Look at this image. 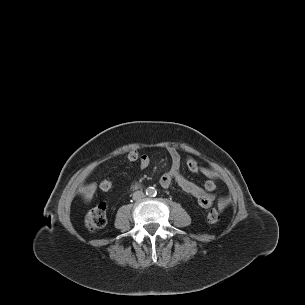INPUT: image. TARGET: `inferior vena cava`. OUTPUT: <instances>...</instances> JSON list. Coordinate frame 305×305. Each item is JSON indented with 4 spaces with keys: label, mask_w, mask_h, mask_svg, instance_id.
Listing matches in <instances>:
<instances>
[{
    "label": "inferior vena cava",
    "mask_w": 305,
    "mask_h": 305,
    "mask_svg": "<svg viewBox=\"0 0 305 305\" xmlns=\"http://www.w3.org/2000/svg\"><path fill=\"white\" fill-rule=\"evenodd\" d=\"M143 197H144V193L142 191H135L133 193V199L134 200H139V199H141Z\"/></svg>",
    "instance_id": "obj_1"
}]
</instances>
